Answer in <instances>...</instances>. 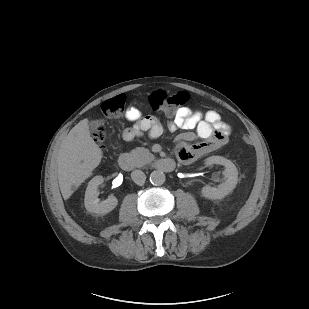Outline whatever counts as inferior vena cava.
I'll return each mask as SVG.
<instances>
[{"mask_svg":"<svg viewBox=\"0 0 309 309\" xmlns=\"http://www.w3.org/2000/svg\"><path fill=\"white\" fill-rule=\"evenodd\" d=\"M131 178L132 180L137 184V185H143L146 180V175L143 171L141 170H134L131 173Z\"/></svg>","mask_w":309,"mask_h":309,"instance_id":"obj_1","label":"inferior vena cava"}]
</instances>
